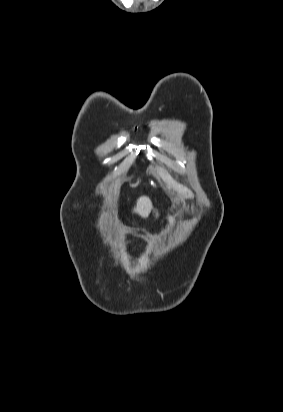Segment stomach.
I'll return each mask as SVG.
<instances>
[{
    "mask_svg": "<svg viewBox=\"0 0 283 412\" xmlns=\"http://www.w3.org/2000/svg\"><path fill=\"white\" fill-rule=\"evenodd\" d=\"M155 214H156V217H158V216H159V213H158V211H156V213H155Z\"/></svg>",
    "mask_w": 283,
    "mask_h": 412,
    "instance_id": "obj_1",
    "label": "stomach"
}]
</instances>
